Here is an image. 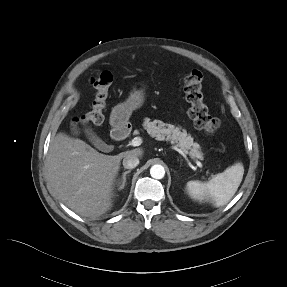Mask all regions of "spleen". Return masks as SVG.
<instances>
[{"mask_svg": "<svg viewBox=\"0 0 287 287\" xmlns=\"http://www.w3.org/2000/svg\"><path fill=\"white\" fill-rule=\"evenodd\" d=\"M244 174L242 163L228 167L207 182L189 181V195L199 201L210 200L216 207L227 204L236 193Z\"/></svg>", "mask_w": 287, "mask_h": 287, "instance_id": "3e777b00", "label": "spleen"}]
</instances>
